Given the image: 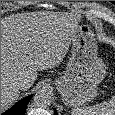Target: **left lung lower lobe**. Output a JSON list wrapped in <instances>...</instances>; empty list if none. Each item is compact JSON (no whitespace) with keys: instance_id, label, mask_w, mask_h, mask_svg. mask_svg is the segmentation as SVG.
<instances>
[{"instance_id":"left-lung-lower-lobe-1","label":"left lung lower lobe","mask_w":115,"mask_h":115,"mask_svg":"<svg viewBox=\"0 0 115 115\" xmlns=\"http://www.w3.org/2000/svg\"><path fill=\"white\" fill-rule=\"evenodd\" d=\"M54 115H58L56 111L54 112Z\"/></svg>"}]
</instances>
